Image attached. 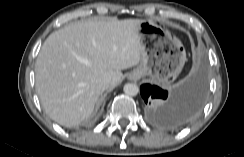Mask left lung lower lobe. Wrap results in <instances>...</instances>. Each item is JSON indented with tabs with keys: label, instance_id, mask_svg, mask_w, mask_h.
Wrapping results in <instances>:
<instances>
[{
	"label": "left lung lower lobe",
	"instance_id": "left-lung-lower-lobe-1",
	"mask_svg": "<svg viewBox=\"0 0 244 157\" xmlns=\"http://www.w3.org/2000/svg\"><path fill=\"white\" fill-rule=\"evenodd\" d=\"M140 92L152 120L165 127L179 128L190 122L204 104L206 72L200 67L170 92L150 84L142 85Z\"/></svg>",
	"mask_w": 244,
	"mask_h": 157
}]
</instances>
